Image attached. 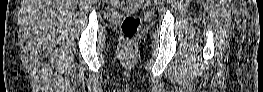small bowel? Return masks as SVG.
Masks as SVG:
<instances>
[{"mask_svg": "<svg viewBox=\"0 0 263 92\" xmlns=\"http://www.w3.org/2000/svg\"><path fill=\"white\" fill-rule=\"evenodd\" d=\"M134 3H136V4H137V3H139V2H137V1H134Z\"/></svg>", "mask_w": 263, "mask_h": 92, "instance_id": "1", "label": "small bowel"}]
</instances>
